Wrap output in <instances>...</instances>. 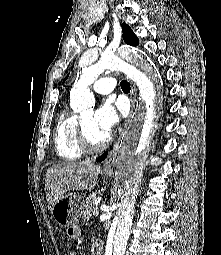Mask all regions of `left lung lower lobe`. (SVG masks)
<instances>
[{"label":"left lung lower lobe","mask_w":221,"mask_h":255,"mask_svg":"<svg viewBox=\"0 0 221 255\" xmlns=\"http://www.w3.org/2000/svg\"><path fill=\"white\" fill-rule=\"evenodd\" d=\"M107 156V153H104L103 155H101L99 158H97V162H101L103 161Z\"/></svg>","instance_id":"0a47b994"}]
</instances>
